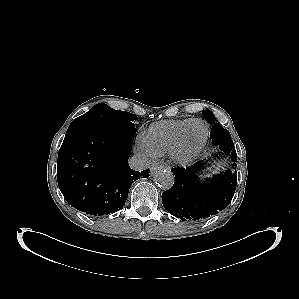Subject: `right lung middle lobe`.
I'll return each instance as SVG.
<instances>
[{
	"instance_id": "dd1d6c3e",
	"label": "right lung middle lobe",
	"mask_w": 299,
	"mask_h": 299,
	"mask_svg": "<svg viewBox=\"0 0 299 299\" xmlns=\"http://www.w3.org/2000/svg\"><path fill=\"white\" fill-rule=\"evenodd\" d=\"M133 120H137V117L132 113L115 110L106 104L99 103L87 113L74 119L67 132L81 129L135 128Z\"/></svg>"
}]
</instances>
